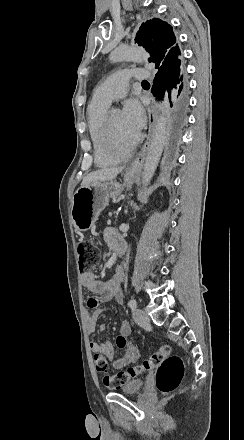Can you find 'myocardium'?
<instances>
[{
  "mask_svg": "<svg viewBox=\"0 0 244 440\" xmlns=\"http://www.w3.org/2000/svg\"><path fill=\"white\" fill-rule=\"evenodd\" d=\"M115 111H120L119 108L112 107L109 108L104 116L103 124L101 125V130H104L105 132H102V141L104 143L102 144L104 147H109L110 140L112 139L113 134L115 133L111 127V115ZM130 145V142L128 140H125V142L122 145H117L118 147L128 146Z\"/></svg>",
  "mask_w": 244,
  "mask_h": 440,
  "instance_id": "1",
  "label": "myocardium"
}]
</instances>
